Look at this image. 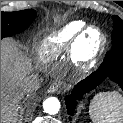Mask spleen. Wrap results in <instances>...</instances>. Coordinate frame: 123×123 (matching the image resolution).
Wrapping results in <instances>:
<instances>
[{
	"instance_id": "3e777b00",
	"label": "spleen",
	"mask_w": 123,
	"mask_h": 123,
	"mask_svg": "<svg viewBox=\"0 0 123 123\" xmlns=\"http://www.w3.org/2000/svg\"><path fill=\"white\" fill-rule=\"evenodd\" d=\"M89 113L93 123H123V97L116 91L99 93Z\"/></svg>"
}]
</instances>
